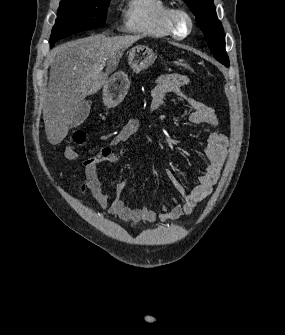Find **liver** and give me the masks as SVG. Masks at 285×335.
Wrapping results in <instances>:
<instances>
[{
  "instance_id": "obj_1",
  "label": "liver",
  "mask_w": 285,
  "mask_h": 335,
  "mask_svg": "<svg viewBox=\"0 0 285 335\" xmlns=\"http://www.w3.org/2000/svg\"><path fill=\"white\" fill-rule=\"evenodd\" d=\"M142 36H89L57 46L52 52L43 120L48 142L56 146L66 138L76 108L96 94L108 80L103 68H116L123 52Z\"/></svg>"
}]
</instances>
